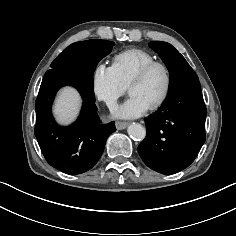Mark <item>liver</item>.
Returning a JSON list of instances; mask_svg holds the SVG:
<instances>
[{
    "label": "liver",
    "mask_w": 236,
    "mask_h": 236,
    "mask_svg": "<svg viewBox=\"0 0 236 236\" xmlns=\"http://www.w3.org/2000/svg\"><path fill=\"white\" fill-rule=\"evenodd\" d=\"M81 99L73 88H64L55 103L54 113L61 123L71 122L78 114Z\"/></svg>",
    "instance_id": "liver-1"
}]
</instances>
